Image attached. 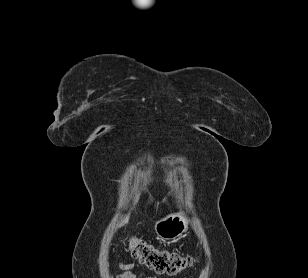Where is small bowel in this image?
I'll use <instances>...</instances> for the list:
<instances>
[{
	"instance_id": "1",
	"label": "small bowel",
	"mask_w": 308,
	"mask_h": 278,
	"mask_svg": "<svg viewBox=\"0 0 308 278\" xmlns=\"http://www.w3.org/2000/svg\"><path fill=\"white\" fill-rule=\"evenodd\" d=\"M134 263H118V268L121 270V274L117 278H136V275L134 273L135 269ZM148 278H155V277H148Z\"/></svg>"
}]
</instances>
